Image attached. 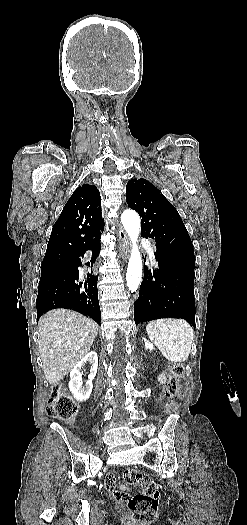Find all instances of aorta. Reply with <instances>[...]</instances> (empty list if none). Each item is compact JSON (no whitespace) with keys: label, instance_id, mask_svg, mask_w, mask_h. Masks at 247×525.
Returning <instances> with one entry per match:
<instances>
[{"label":"aorta","instance_id":"762f6f07","mask_svg":"<svg viewBox=\"0 0 247 525\" xmlns=\"http://www.w3.org/2000/svg\"><path fill=\"white\" fill-rule=\"evenodd\" d=\"M121 222L131 242V257L128 262L126 284L129 291L138 289L142 278V258L137 246L140 233V218L133 210H125L121 215Z\"/></svg>","mask_w":247,"mask_h":525}]
</instances>
